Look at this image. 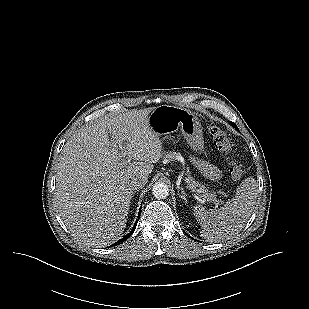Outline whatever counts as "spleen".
<instances>
[{
	"mask_svg": "<svg viewBox=\"0 0 309 309\" xmlns=\"http://www.w3.org/2000/svg\"><path fill=\"white\" fill-rule=\"evenodd\" d=\"M258 197L256 180L242 181L236 195L219 209L206 210L196 205L193 214L201 225V236L209 242L227 240L238 233L250 218Z\"/></svg>",
	"mask_w": 309,
	"mask_h": 309,
	"instance_id": "3e777b00",
	"label": "spleen"
}]
</instances>
